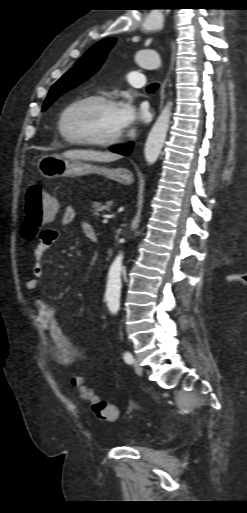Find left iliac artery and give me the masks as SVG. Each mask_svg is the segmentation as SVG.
Wrapping results in <instances>:
<instances>
[{
  "mask_svg": "<svg viewBox=\"0 0 247 513\" xmlns=\"http://www.w3.org/2000/svg\"><path fill=\"white\" fill-rule=\"evenodd\" d=\"M123 358H124L126 363H128V364H132L133 363V356H132V354L130 352H128V351L124 352Z\"/></svg>",
  "mask_w": 247,
  "mask_h": 513,
  "instance_id": "1",
  "label": "left iliac artery"
}]
</instances>
